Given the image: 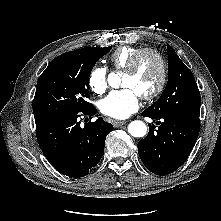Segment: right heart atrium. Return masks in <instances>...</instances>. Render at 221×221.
<instances>
[{"label":"right heart atrium","mask_w":221,"mask_h":221,"mask_svg":"<svg viewBox=\"0 0 221 221\" xmlns=\"http://www.w3.org/2000/svg\"><path fill=\"white\" fill-rule=\"evenodd\" d=\"M88 86L96 94H102L107 88V69L94 67L88 76Z\"/></svg>","instance_id":"d8ad5b80"}]
</instances>
